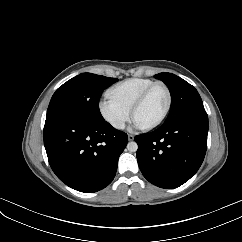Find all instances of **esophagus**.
Listing matches in <instances>:
<instances>
[{
	"instance_id": "obj_1",
	"label": "esophagus",
	"mask_w": 242,
	"mask_h": 242,
	"mask_svg": "<svg viewBox=\"0 0 242 242\" xmlns=\"http://www.w3.org/2000/svg\"><path fill=\"white\" fill-rule=\"evenodd\" d=\"M128 140H129V141L134 140V136H133L132 134H129V135H128Z\"/></svg>"
}]
</instances>
